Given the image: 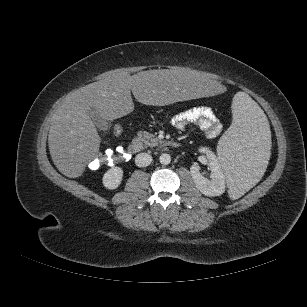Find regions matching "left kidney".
Listing matches in <instances>:
<instances>
[{"mask_svg": "<svg viewBox=\"0 0 307 307\" xmlns=\"http://www.w3.org/2000/svg\"><path fill=\"white\" fill-rule=\"evenodd\" d=\"M199 151L206 154L211 169V175L210 179L204 177L200 173V168L197 165H192L190 172L194 183L202 194L206 196H220L225 192V174L216 158V155L209 150V148L201 147Z\"/></svg>", "mask_w": 307, "mask_h": 307, "instance_id": "1", "label": "left kidney"}]
</instances>
